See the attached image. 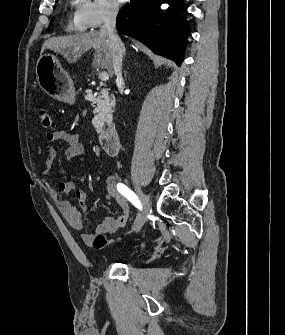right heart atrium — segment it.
Masks as SVG:
<instances>
[{
    "instance_id": "obj_1",
    "label": "right heart atrium",
    "mask_w": 285,
    "mask_h": 335,
    "mask_svg": "<svg viewBox=\"0 0 285 335\" xmlns=\"http://www.w3.org/2000/svg\"><path fill=\"white\" fill-rule=\"evenodd\" d=\"M121 7L117 1H88L84 6L83 22L92 29H98L117 19Z\"/></svg>"
}]
</instances>
